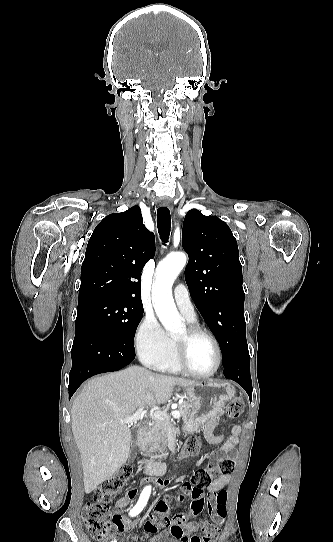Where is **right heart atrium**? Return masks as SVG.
Listing matches in <instances>:
<instances>
[{"instance_id": "1", "label": "right heart atrium", "mask_w": 333, "mask_h": 542, "mask_svg": "<svg viewBox=\"0 0 333 542\" xmlns=\"http://www.w3.org/2000/svg\"><path fill=\"white\" fill-rule=\"evenodd\" d=\"M135 348L140 358L163 351L169 344L158 319L153 314H145L139 322L134 334Z\"/></svg>"}]
</instances>
